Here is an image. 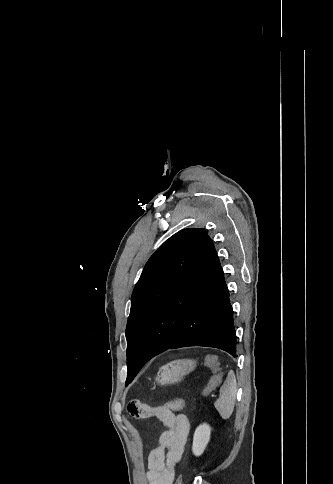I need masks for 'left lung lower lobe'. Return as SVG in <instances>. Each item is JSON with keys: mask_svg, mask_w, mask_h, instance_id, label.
<instances>
[{"mask_svg": "<svg viewBox=\"0 0 333 484\" xmlns=\"http://www.w3.org/2000/svg\"><path fill=\"white\" fill-rule=\"evenodd\" d=\"M168 296L174 302H168ZM168 296L156 308L138 345L136 365L167 350L189 346L219 348L236 356L229 291L209 237L197 247Z\"/></svg>", "mask_w": 333, "mask_h": 484, "instance_id": "0a47b994", "label": "left lung lower lobe"}]
</instances>
